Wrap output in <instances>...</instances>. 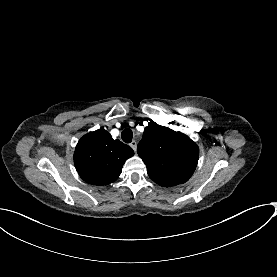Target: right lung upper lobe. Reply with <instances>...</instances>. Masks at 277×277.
I'll use <instances>...</instances> for the list:
<instances>
[{
    "instance_id": "obj_1",
    "label": "right lung upper lobe",
    "mask_w": 277,
    "mask_h": 277,
    "mask_svg": "<svg viewBox=\"0 0 277 277\" xmlns=\"http://www.w3.org/2000/svg\"><path fill=\"white\" fill-rule=\"evenodd\" d=\"M134 152L120 140H114L104 129L84 135L74 153V164L80 177L92 185L114 182L125 161Z\"/></svg>"
}]
</instances>
